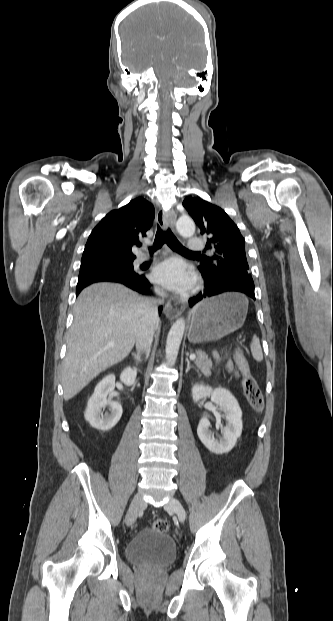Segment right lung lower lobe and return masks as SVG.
<instances>
[{
	"label": "right lung lower lobe",
	"instance_id": "1",
	"mask_svg": "<svg viewBox=\"0 0 333 621\" xmlns=\"http://www.w3.org/2000/svg\"><path fill=\"white\" fill-rule=\"evenodd\" d=\"M97 282H117L141 294L150 295L151 284L144 274L134 270L122 271L113 268H94L80 270L76 287V296L86 286ZM162 307H159V313Z\"/></svg>",
	"mask_w": 333,
	"mask_h": 621
}]
</instances>
